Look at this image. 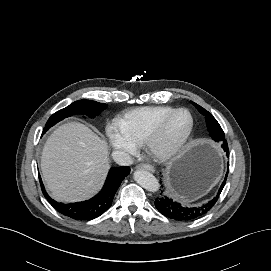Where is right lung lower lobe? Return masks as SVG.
Here are the masks:
<instances>
[{
    "label": "right lung lower lobe",
    "instance_id": "98d812e1",
    "mask_svg": "<svg viewBox=\"0 0 271 271\" xmlns=\"http://www.w3.org/2000/svg\"><path fill=\"white\" fill-rule=\"evenodd\" d=\"M129 172V167L111 168L101 192L90 200L78 203L63 204L56 202L46 193L41 179L40 183L45 198L61 214L75 220H92L99 217L110 208L119 185Z\"/></svg>",
    "mask_w": 271,
    "mask_h": 271
}]
</instances>
